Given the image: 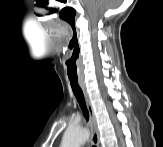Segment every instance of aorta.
<instances>
[{"label":"aorta","mask_w":163,"mask_h":147,"mask_svg":"<svg viewBox=\"0 0 163 147\" xmlns=\"http://www.w3.org/2000/svg\"><path fill=\"white\" fill-rule=\"evenodd\" d=\"M89 137V133L85 128L81 127H69L63 138L62 147H80L83 145Z\"/></svg>","instance_id":"obj_1"}]
</instances>
